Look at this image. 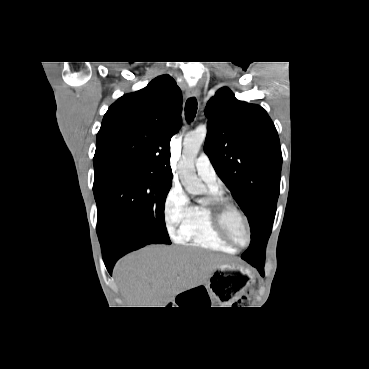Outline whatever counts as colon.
I'll return each mask as SVG.
<instances>
[{
	"instance_id": "colon-1",
	"label": "colon",
	"mask_w": 369,
	"mask_h": 369,
	"mask_svg": "<svg viewBox=\"0 0 369 369\" xmlns=\"http://www.w3.org/2000/svg\"><path fill=\"white\" fill-rule=\"evenodd\" d=\"M249 298L247 296L241 297L236 303V307L245 306L248 303Z\"/></svg>"
}]
</instances>
